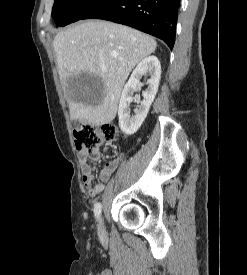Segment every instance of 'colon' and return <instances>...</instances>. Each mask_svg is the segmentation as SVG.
<instances>
[{"instance_id": "5ec220e1", "label": "colon", "mask_w": 247, "mask_h": 275, "mask_svg": "<svg viewBox=\"0 0 247 275\" xmlns=\"http://www.w3.org/2000/svg\"><path fill=\"white\" fill-rule=\"evenodd\" d=\"M75 143L78 150L85 151L89 158H99V147L104 141L113 142L118 137V130L113 124L101 126L83 124L74 130Z\"/></svg>"}]
</instances>
